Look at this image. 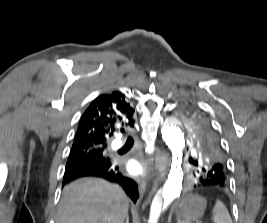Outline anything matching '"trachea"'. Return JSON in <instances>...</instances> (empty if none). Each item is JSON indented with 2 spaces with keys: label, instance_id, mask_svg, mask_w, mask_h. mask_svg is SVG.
I'll list each match as a JSON object with an SVG mask.
<instances>
[{
  "label": "trachea",
  "instance_id": "trachea-1",
  "mask_svg": "<svg viewBox=\"0 0 267 223\" xmlns=\"http://www.w3.org/2000/svg\"><path fill=\"white\" fill-rule=\"evenodd\" d=\"M127 141L130 142V143H133V139H132V137L129 136L128 139H127Z\"/></svg>",
  "mask_w": 267,
  "mask_h": 223
}]
</instances>
